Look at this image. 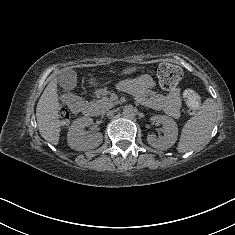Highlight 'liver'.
<instances>
[{
	"label": "liver",
	"mask_w": 235,
	"mask_h": 235,
	"mask_svg": "<svg viewBox=\"0 0 235 235\" xmlns=\"http://www.w3.org/2000/svg\"><path fill=\"white\" fill-rule=\"evenodd\" d=\"M56 86L48 85L40 97L36 115L40 133L48 140L54 136V128L50 120L54 114ZM57 139V137H55Z\"/></svg>",
	"instance_id": "liver-1"
}]
</instances>
